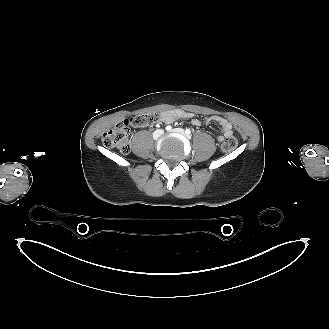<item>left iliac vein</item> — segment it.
<instances>
[{"label":"left iliac vein","instance_id":"left-iliac-vein-1","mask_svg":"<svg viewBox=\"0 0 329 329\" xmlns=\"http://www.w3.org/2000/svg\"><path fill=\"white\" fill-rule=\"evenodd\" d=\"M174 131L180 134H185V131L182 128H176Z\"/></svg>","mask_w":329,"mask_h":329}]
</instances>
